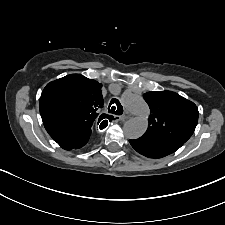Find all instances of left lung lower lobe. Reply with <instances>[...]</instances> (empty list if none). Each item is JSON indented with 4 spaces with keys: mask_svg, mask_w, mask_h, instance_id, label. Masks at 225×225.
<instances>
[{
    "mask_svg": "<svg viewBox=\"0 0 225 225\" xmlns=\"http://www.w3.org/2000/svg\"><path fill=\"white\" fill-rule=\"evenodd\" d=\"M131 146L140 154L153 159L165 157L178 150L184 143L172 140H156L146 137L129 140Z\"/></svg>",
    "mask_w": 225,
    "mask_h": 225,
    "instance_id": "1",
    "label": "left lung lower lobe"
}]
</instances>
